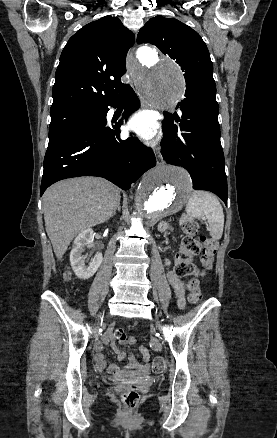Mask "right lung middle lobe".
I'll use <instances>...</instances> for the list:
<instances>
[{"label":"right lung middle lobe","instance_id":"obj_1","mask_svg":"<svg viewBox=\"0 0 277 438\" xmlns=\"http://www.w3.org/2000/svg\"><path fill=\"white\" fill-rule=\"evenodd\" d=\"M97 113L98 110L94 108H81L61 112H51L49 139L75 125L88 121Z\"/></svg>","mask_w":277,"mask_h":438}]
</instances>
